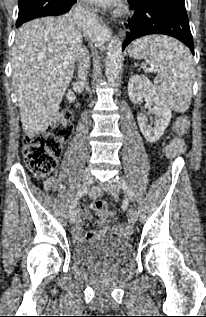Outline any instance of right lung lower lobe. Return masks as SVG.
<instances>
[{
    "mask_svg": "<svg viewBox=\"0 0 206 317\" xmlns=\"http://www.w3.org/2000/svg\"><path fill=\"white\" fill-rule=\"evenodd\" d=\"M74 3H76V0H61V2L56 7V10L61 13L60 15L65 14L70 10Z\"/></svg>",
    "mask_w": 206,
    "mask_h": 317,
    "instance_id": "right-lung-lower-lobe-1",
    "label": "right lung lower lobe"
}]
</instances>
